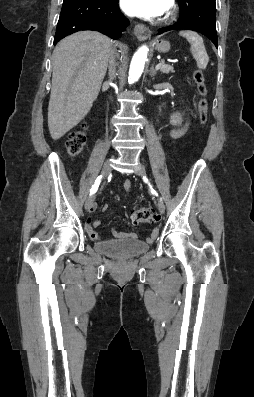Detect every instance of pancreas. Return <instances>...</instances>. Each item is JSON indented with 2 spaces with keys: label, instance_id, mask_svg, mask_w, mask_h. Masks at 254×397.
<instances>
[{
  "label": "pancreas",
  "instance_id": "cf45deb5",
  "mask_svg": "<svg viewBox=\"0 0 254 397\" xmlns=\"http://www.w3.org/2000/svg\"><path fill=\"white\" fill-rule=\"evenodd\" d=\"M161 62H163V61H161ZM159 70H160L161 73H165V74L174 73L175 72L174 68L172 66L167 65L165 63L162 64V66L159 68Z\"/></svg>",
  "mask_w": 254,
  "mask_h": 397
}]
</instances>
